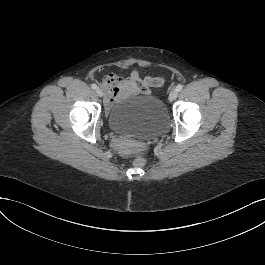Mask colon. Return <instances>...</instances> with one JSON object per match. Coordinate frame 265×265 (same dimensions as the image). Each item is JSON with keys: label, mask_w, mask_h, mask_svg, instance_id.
I'll use <instances>...</instances> for the list:
<instances>
[{"label": "colon", "mask_w": 265, "mask_h": 265, "mask_svg": "<svg viewBox=\"0 0 265 265\" xmlns=\"http://www.w3.org/2000/svg\"><path fill=\"white\" fill-rule=\"evenodd\" d=\"M146 157L145 156H138L134 160V166L137 168L143 167L146 164Z\"/></svg>", "instance_id": "5ec220e1"}]
</instances>
